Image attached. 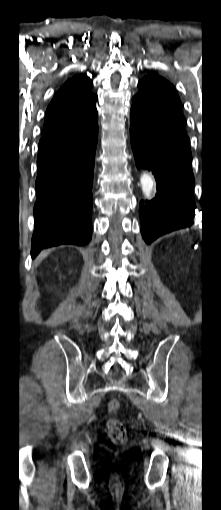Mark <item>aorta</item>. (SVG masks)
I'll return each instance as SVG.
<instances>
[{
	"label": "aorta",
	"instance_id": "762f6f07",
	"mask_svg": "<svg viewBox=\"0 0 221 510\" xmlns=\"http://www.w3.org/2000/svg\"><path fill=\"white\" fill-rule=\"evenodd\" d=\"M140 183L142 186L143 193L147 196H151V192L154 186V180L151 175L144 173L140 177Z\"/></svg>",
	"mask_w": 221,
	"mask_h": 510
}]
</instances>
